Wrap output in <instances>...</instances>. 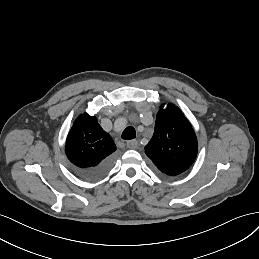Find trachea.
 <instances>
[{
  "label": "trachea",
  "instance_id": "obj_1",
  "mask_svg": "<svg viewBox=\"0 0 259 259\" xmlns=\"http://www.w3.org/2000/svg\"><path fill=\"white\" fill-rule=\"evenodd\" d=\"M136 137L135 129L132 126H128L122 133V139L130 140Z\"/></svg>",
  "mask_w": 259,
  "mask_h": 259
}]
</instances>
